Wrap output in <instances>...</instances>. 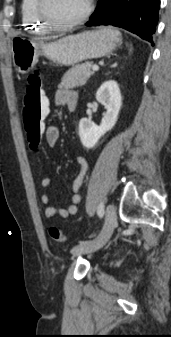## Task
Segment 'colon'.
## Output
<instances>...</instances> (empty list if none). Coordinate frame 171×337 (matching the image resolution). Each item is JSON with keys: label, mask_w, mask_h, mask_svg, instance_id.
<instances>
[{"label": "colon", "mask_w": 171, "mask_h": 337, "mask_svg": "<svg viewBox=\"0 0 171 337\" xmlns=\"http://www.w3.org/2000/svg\"><path fill=\"white\" fill-rule=\"evenodd\" d=\"M49 94H44L43 82L38 71L31 73L27 79V86L23 99V124L29 145L34 148L41 142L44 116L50 115V110L46 109ZM49 234L57 242H64L66 236L64 232L57 227H50Z\"/></svg>", "instance_id": "5ec220e1"}]
</instances>
